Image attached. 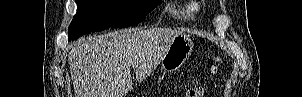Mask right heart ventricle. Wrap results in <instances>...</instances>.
I'll return each instance as SVG.
<instances>
[{
    "instance_id": "right-heart-ventricle-1",
    "label": "right heart ventricle",
    "mask_w": 302,
    "mask_h": 97,
    "mask_svg": "<svg viewBox=\"0 0 302 97\" xmlns=\"http://www.w3.org/2000/svg\"><path fill=\"white\" fill-rule=\"evenodd\" d=\"M193 10L190 8H171V12H173L174 14L178 15L181 18L184 19H189L191 18V12Z\"/></svg>"
}]
</instances>
